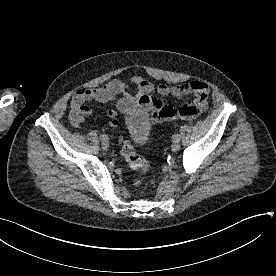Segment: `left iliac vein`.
Wrapping results in <instances>:
<instances>
[{
    "label": "left iliac vein",
    "mask_w": 276,
    "mask_h": 276,
    "mask_svg": "<svg viewBox=\"0 0 276 276\" xmlns=\"http://www.w3.org/2000/svg\"><path fill=\"white\" fill-rule=\"evenodd\" d=\"M180 141L177 140H173L172 145H171V149L173 152H177L180 149Z\"/></svg>",
    "instance_id": "1"
}]
</instances>
